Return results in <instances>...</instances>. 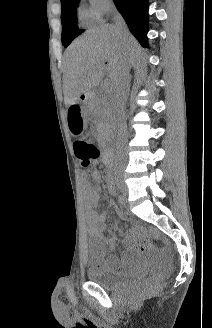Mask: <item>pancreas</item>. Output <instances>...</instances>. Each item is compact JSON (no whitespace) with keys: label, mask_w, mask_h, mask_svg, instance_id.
I'll return each instance as SVG.
<instances>
[{"label":"pancreas","mask_w":212,"mask_h":328,"mask_svg":"<svg viewBox=\"0 0 212 328\" xmlns=\"http://www.w3.org/2000/svg\"><path fill=\"white\" fill-rule=\"evenodd\" d=\"M102 99H97L92 105V114L96 118L97 137L98 139H106L111 133V120L109 114L106 112V107Z\"/></svg>","instance_id":"1"}]
</instances>
